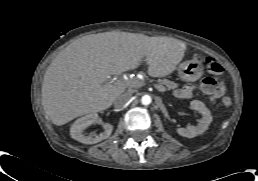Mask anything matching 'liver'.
<instances>
[{
    "mask_svg": "<svg viewBox=\"0 0 258 181\" xmlns=\"http://www.w3.org/2000/svg\"><path fill=\"white\" fill-rule=\"evenodd\" d=\"M186 45L174 38L128 32H105L68 45L48 66L42 105L53 124L64 125L88 113L108 109L125 90L105 83L110 75L137 68L144 59L151 77L172 73Z\"/></svg>",
    "mask_w": 258,
    "mask_h": 181,
    "instance_id": "1",
    "label": "liver"
}]
</instances>
